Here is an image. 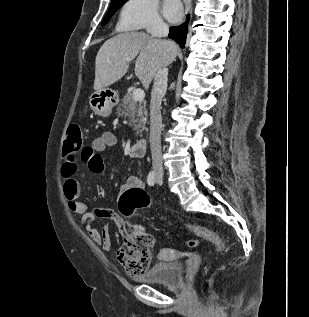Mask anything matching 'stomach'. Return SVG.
I'll return each mask as SVG.
<instances>
[{
    "label": "stomach",
    "mask_w": 309,
    "mask_h": 317,
    "mask_svg": "<svg viewBox=\"0 0 309 317\" xmlns=\"http://www.w3.org/2000/svg\"><path fill=\"white\" fill-rule=\"evenodd\" d=\"M119 102L118 93L110 88L96 90L89 98L91 109L99 116L107 117Z\"/></svg>",
    "instance_id": "stomach-1"
}]
</instances>
